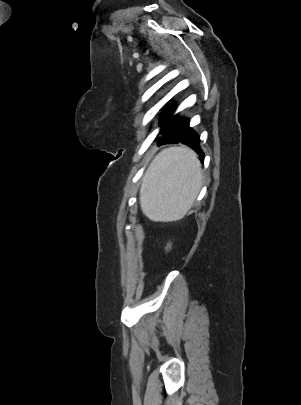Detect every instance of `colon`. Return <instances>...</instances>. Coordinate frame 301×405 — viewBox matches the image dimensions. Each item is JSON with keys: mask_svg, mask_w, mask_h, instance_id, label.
<instances>
[{"mask_svg": "<svg viewBox=\"0 0 301 405\" xmlns=\"http://www.w3.org/2000/svg\"><path fill=\"white\" fill-rule=\"evenodd\" d=\"M171 250H172V241H171V240H168V242H167V244H166V246H165V252H166V254H169V253L171 252Z\"/></svg>", "mask_w": 301, "mask_h": 405, "instance_id": "5ec220e1", "label": "colon"}]
</instances>
